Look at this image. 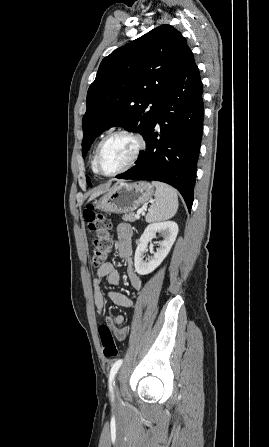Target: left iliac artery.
<instances>
[{
    "label": "left iliac artery",
    "instance_id": "left-iliac-artery-1",
    "mask_svg": "<svg viewBox=\"0 0 269 447\" xmlns=\"http://www.w3.org/2000/svg\"><path fill=\"white\" fill-rule=\"evenodd\" d=\"M122 359L117 360L110 371V375H109V390L111 392V397L113 398V385H114V377L115 374L117 373L118 369L120 368V366L122 365Z\"/></svg>",
    "mask_w": 269,
    "mask_h": 447
}]
</instances>
